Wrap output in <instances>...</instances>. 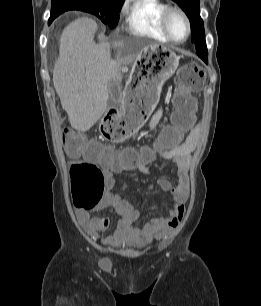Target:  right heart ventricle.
Listing matches in <instances>:
<instances>
[{"label":"right heart ventricle","mask_w":261,"mask_h":306,"mask_svg":"<svg viewBox=\"0 0 261 306\" xmlns=\"http://www.w3.org/2000/svg\"><path fill=\"white\" fill-rule=\"evenodd\" d=\"M167 7L162 0H128L124 9L128 30L156 41H170L161 26V17Z\"/></svg>","instance_id":"obj_1"}]
</instances>
